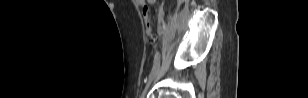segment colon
<instances>
[{
  "mask_svg": "<svg viewBox=\"0 0 308 98\" xmlns=\"http://www.w3.org/2000/svg\"><path fill=\"white\" fill-rule=\"evenodd\" d=\"M142 14L145 21L146 32L149 36L153 37V28L150 22L149 8L146 5L142 6Z\"/></svg>",
  "mask_w": 308,
  "mask_h": 98,
  "instance_id": "5ec220e1",
  "label": "colon"
}]
</instances>
